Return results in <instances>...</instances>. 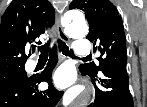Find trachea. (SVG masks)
<instances>
[{
  "instance_id": "trachea-1",
  "label": "trachea",
  "mask_w": 147,
  "mask_h": 107,
  "mask_svg": "<svg viewBox=\"0 0 147 107\" xmlns=\"http://www.w3.org/2000/svg\"><path fill=\"white\" fill-rule=\"evenodd\" d=\"M50 41L51 39L45 45H42L38 48L40 50V57L48 56ZM57 42H58L59 50L62 51L63 55L75 58L73 52L69 50V47L62 40L58 39ZM33 50H35V46H33ZM85 58H90V56H86Z\"/></svg>"
}]
</instances>
